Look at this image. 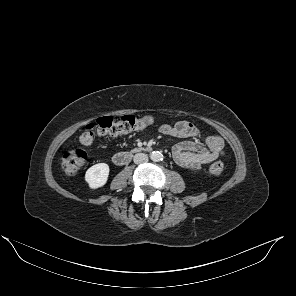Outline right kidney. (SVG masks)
Wrapping results in <instances>:
<instances>
[{"label": "right kidney", "mask_w": 296, "mask_h": 296, "mask_svg": "<svg viewBox=\"0 0 296 296\" xmlns=\"http://www.w3.org/2000/svg\"><path fill=\"white\" fill-rule=\"evenodd\" d=\"M109 166L106 163H98L90 167L85 174V181L91 189H97L106 184L109 176Z\"/></svg>", "instance_id": "1"}]
</instances>
